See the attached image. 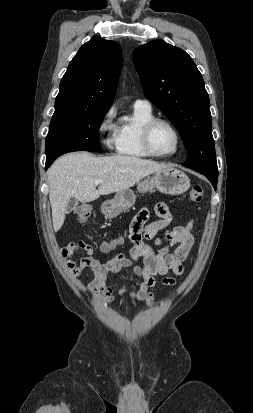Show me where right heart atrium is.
Returning a JSON list of instances; mask_svg holds the SVG:
<instances>
[{
  "label": "right heart atrium",
  "instance_id": "obj_1",
  "mask_svg": "<svg viewBox=\"0 0 253 413\" xmlns=\"http://www.w3.org/2000/svg\"><path fill=\"white\" fill-rule=\"evenodd\" d=\"M115 117L116 109L115 107H110L104 113L98 125L101 141L107 149L117 148L119 126L115 122Z\"/></svg>",
  "mask_w": 253,
  "mask_h": 413
}]
</instances>
